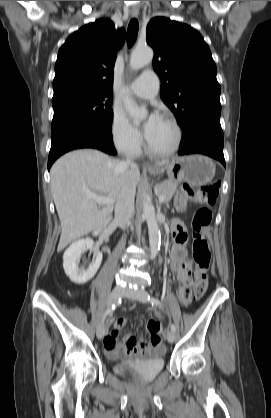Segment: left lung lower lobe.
<instances>
[{
    "mask_svg": "<svg viewBox=\"0 0 271 418\" xmlns=\"http://www.w3.org/2000/svg\"><path fill=\"white\" fill-rule=\"evenodd\" d=\"M183 132L179 155L204 154L220 161L225 166L224 136L220 120H199L188 125Z\"/></svg>",
    "mask_w": 271,
    "mask_h": 418,
    "instance_id": "0a47b994",
    "label": "left lung lower lobe"
}]
</instances>
